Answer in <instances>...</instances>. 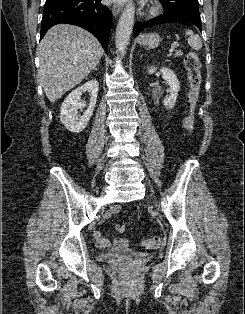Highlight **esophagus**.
Instances as JSON below:
<instances>
[{
    "label": "esophagus",
    "mask_w": 245,
    "mask_h": 314,
    "mask_svg": "<svg viewBox=\"0 0 245 314\" xmlns=\"http://www.w3.org/2000/svg\"><path fill=\"white\" fill-rule=\"evenodd\" d=\"M121 10H122V8H121V6L118 5V4H114V5H112V7H111V11H112V13H113V15H114L115 17L120 14Z\"/></svg>",
    "instance_id": "obj_1"
}]
</instances>
